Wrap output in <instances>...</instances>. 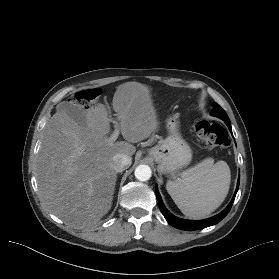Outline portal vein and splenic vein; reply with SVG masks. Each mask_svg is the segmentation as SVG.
Returning <instances> with one entry per match:
<instances>
[{
	"instance_id": "obj_1",
	"label": "portal vein and splenic vein",
	"mask_w": 279,
	"mask_h": 279,
	"mask_svg": "<svg viewBox=\"0 0 279 279\" xmlns=\"http://www.w3.org/2000/svg\"><path fill=\"white\" fill-rule=\"evenodd\" d=\"M119 131L120 130L118 128V125L116 124L115 125V130H114L113 134L109 137V142H114L118 138Z\"/></svg>"
}]
</instances>
